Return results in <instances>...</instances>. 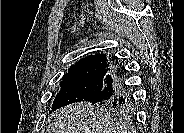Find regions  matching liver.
Returning a JSON list of instances; mask_svg holds the SVG:
<instances>
[{
    "label": "liver",
    "mask_w": 184,
    "mask_h": 133,
    "mask_svg": "<svg viewBox=\"0 0 184 133\" xmlns=\"http://www.w3.org/2000/svg\"><path fill=\"white\" fill-rule=\"evenodd\" d=\"M48 133H120L110 116L91 103L79 102L62 107L51 114Z\"/></svg>",
    "instance_id": "liver-1"
}]
</instances>
